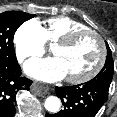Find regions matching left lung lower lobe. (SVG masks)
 <instances>
[{"label":"left lung lower lobe","mask_w":117,"mask_h":117,"mask_svg":"<svg viewBox=\"0 0 117 117\" xmlns=\"http://www.w3.org/2000/svg\"><path fill=\"white\" fill-rule=\"evenodd\" d=\"M108 90L90 81L74 86L56 87V95L62 100L64 109L46 117H94L105 103Z\"/></svg>","instance_id":"obj_1"}]
</instances>
